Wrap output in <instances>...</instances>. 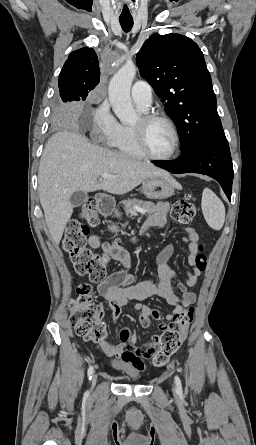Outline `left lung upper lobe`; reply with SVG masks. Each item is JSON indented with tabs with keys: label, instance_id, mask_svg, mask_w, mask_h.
<instances>
[{
	"label": "left lung upper lobe",
	"instance_id": "left-lung-upper-lobe-1",
	"mask_svg": "<svg viewBox=\"0 0 256 445\" xmlns=\"http://www.w3.org/2000/svg\"><path fill=\"white\" fill-rule=\"evenodd\" d=\"M136 60L176 123L182 152L204 140L225 138L211 76L194 41L179 34L153 35Z\"/></svg>",
	"mask_w": 256,
	"mask_h": 445
}]
</instances>
